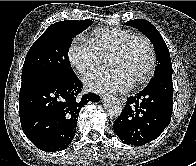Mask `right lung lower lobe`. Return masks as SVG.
<instances>
[{"instance_id":"1","label":"right lung lower lobe","mask_w":196,"mask_h":166,"mask_svg":"<svg viewBox=\"0 0 196 166\" xmlns=\"http://www.w3.org/2000/svg\"><path fill=\"white\" fill-rule=\"evenodd\" d=\"M82 82L49 75L22 79L19 113L24 134L39 149L64 150L73 140L81 108L100 97L90 93L79 97Z\"/></svg>"}]
</instances>
